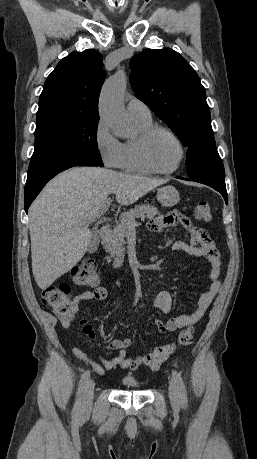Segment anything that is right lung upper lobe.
Returning a JSON list of instances; mask_svg holds the SVG:
<instances>
[{"label":"right lung upper lobe","instance_id":"obj_1","mask_svg":"<svg viewBox=\"0 0 257 459\" xmlns=\"http://www.w3.org/2000/svg\"><path fill=\"white\" fill-rule=\"evenodd\" d=\"M102 55L93 49L72 52L48 76L38 112L64 110L97 116L101 86L106 77Z\"/></svg>","mask_w":257,"mask_h":459}]
</instances>
